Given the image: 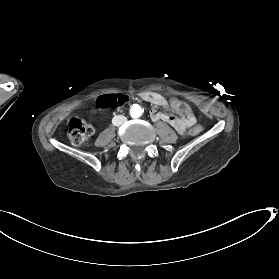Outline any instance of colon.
Returning <instances> with one entry per match:
<instances>
[{"label": "colon", "mask_w": 279, "mask_h": 279, "mask_svg": "<svg viewBox=\"0 0 279 279\" xmlns=\"http://www.w3.org/2000/svg\"><path fill=\"white\" fill-rule=\"evenodd\" d=\"M129 98L125 94H105L101 95L96 103L100 108H113L125 105ZM175 111L183 118L192 116L191 108L184 102H178ZM203 131L201 125H195L190 130V135L196 136ZM94 133L93 127L79 118H71L68 124V137L74 144H82Z\"/></svg>", "instance_id": "obj_1"}]
</instances>
